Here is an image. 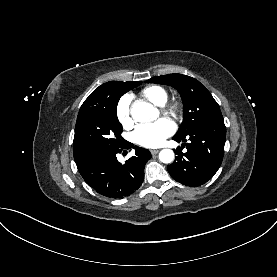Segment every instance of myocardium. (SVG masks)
Here are the masks:
<instances>
[{"mask_svg": "<svg viewBox=\"0 0 277 277\" xmlns=\"http://www.w3.org/2000/svg\"><path fill=\"white\" fill-rule=\"evenodd\" d=\"M162 113L168 117L178 119L182 114V105L178 101L165 103L161 106Z\"/></svg>", "mask_w": 277, "mask_h": 277, "instance_id": "1", "label": "myocardium"}]
</instances>
